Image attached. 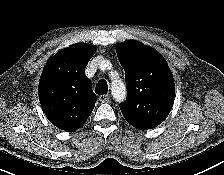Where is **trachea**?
<instances>
[{"label":"trachea","instance_id":"trachea-1","mask_svg":"<svg viewBox=\"0 0 224 175\" xmlns=\"http://www.w3.org/2000/svg\"><path fill=\"white\" fill-rule=\"evenodd\" d=\"M107 90H108L107 82L105 80H101L98 82L95 92L97 94H105Z\"/></svg>","mask_w":224,"mask_h":175}]
</instances>
